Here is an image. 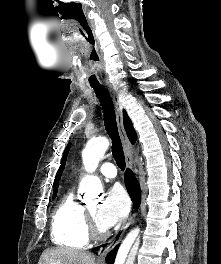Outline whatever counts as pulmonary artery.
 Wrapping results in <instances>:
<instances>
[{
	"mask_svg": "<svg viewBox=\"0 0 221 264\" xmlns=\"http://www.w3.org/2000/svg\"><path fill=\"white\" fill-rule=\"evenodd\" d=\"M99 172L109 179L115 178L117 175L116 167L110 162L103 163L99 168Z\"/></svg>",
	"mask_w": 221,
	"mask_h": 264,
	"instance_id": "obj_1",
	"label": "pulmonary artery"
}]
</instances>
